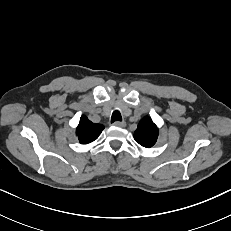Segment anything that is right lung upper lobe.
Wrapping results in <instances>:
<instances>
[{
    "label": "right lung upper lobe",
    "mask_w": 231,
    "mask_h": 231,
    "mask_svg": "<svg viewBox=\"0 0 231 231\" xmlns=\"http://www.w3.org/2000/svg\"><path fill=\"white\" fill-rule=\"evenodd\" d=\"M103 129V125L94 124L86 116H82L77 127V136L81 144H88L96 140Z\"/></svg>",
    "instance_id": "1"
}]
</instances>
